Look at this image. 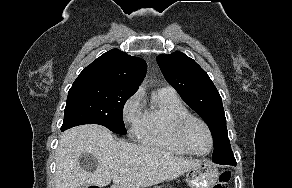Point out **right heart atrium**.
Returning a JSON list of instances; mask_svg holds the SVG:
<instances>
[{"mask_svg":"<svg viewBox=\"0 0 292 188\" xmlns=\"http://www.w3.org/2000/svg\"><path fill=\"white\" fill-rule=\"evenodd\" d=\"M124 122L130 127L131 132L135 133L141 119L140 94L136 92L127 99L122 108Z\"/></svg>","mask_w":292,"mask_h":188,"instance_id":"1","label":"right heart atrium"}]
</instances>
